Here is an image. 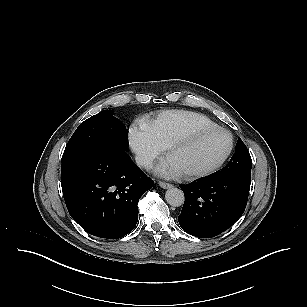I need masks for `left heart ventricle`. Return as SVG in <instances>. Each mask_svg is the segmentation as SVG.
Listing matches in <instances>:
<instances>
[{
  "label": "left heart ventricle",
  "mask_w": 307,
  "mask_h": 307,
  "mask_svg": "<svg viewBox=\"0 0 307 307\" xmlns=\"http://www.w3.org/2000/svg\"><path fill=\"white\" fill-rule=\"evenodd\" d=\"M229 145L228 135L216 132L195 140L168 157L181 174L198 171L217 163L227 152Z\"/></svg>",
  "instance_id": "b2bd125f"
}]
</instances>
